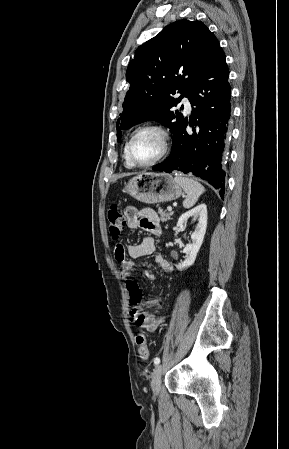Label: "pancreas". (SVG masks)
Listing matches in <instances>:
<instances>
[{
  "label": "pancreas",
  "instance_id": "1",
  "mask_svg": "<svg viewBox=\"0 0 289 449\" xmlns=\"http://www.w3.org/2000/svg\"><path fill=\"white\" fill-rule=\"evenodd\" d=\"M158 214L160 215L161 221H168L171 219V212L163 211L161 208H158Z\"/></svg>",
  "mask_w": 289,
  "mask_h": 449
}]
</instances>
